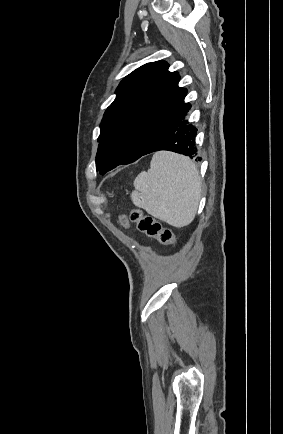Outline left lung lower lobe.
<instances>
[{
	"label": "left lung lower lobe",
	"mask_w": 283,
	"mask_h": 434,
	"mask_svg": "<svg viewBox=\"0 0 283 434\" xmlns=\"http://www.w3.org/2000/svg\"><path fill=\"white\" fill-rule=\"evenodd\" d=\"M190 108L189 103H183L178 107L159 129L142 156L159 150H168L193 158L196 154L194 140L197 129L185 120ZM200 160V157L196 158V161Z\"/></svg>",
	"instance_id": "0a47b994"
}]
</instances>
